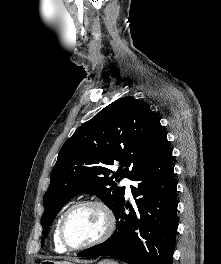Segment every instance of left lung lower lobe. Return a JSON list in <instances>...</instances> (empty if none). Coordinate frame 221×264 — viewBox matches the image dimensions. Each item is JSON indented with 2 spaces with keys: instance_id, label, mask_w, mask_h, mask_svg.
<instances>
[{
  "instance_id": "1",
  "label": "left lung lower lobe",
  "mask_w": 221,
  "mask_h": 264,
  "mask_svg": "<svg viewBox=\"0 0 221 264\" xmlns=\"http://www.w3.org/2000/svg\"><path fill=\"white\" fill-rule=\"evenodd\" d=\"M135 209L121 201L115 209L116 230L105 242L78 256H110L129 264H172L177 221V188L172 150L166 140L156 157L131 179ZM138 197V199H136ZM129 208V213H125Z\"/></svg>"
}]
</instances>
